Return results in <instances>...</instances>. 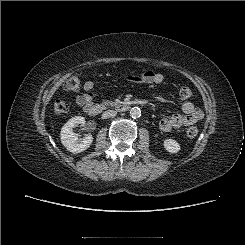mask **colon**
<instances>
[{
    "label": "colon",
    "mask_w": 245,
    "mask_h": 245,
    "mask_svg": "<svg viewBox=\"0 0 245 245\" xmlns=\"http://www.w3.org/2000/svg\"><path fill=\"white\" fill-rule=\"evenodd\" d=\"M82 87V78L79 74L72 75L64 84V88L68 91L77 92ZM179 96L182 99H187L192 96V91L188 87H182L179 90ZM54 112L57 114H64L69 110V104L64 99H58L54 103ZM186 136L188 138H194L198 134V129L195 127H190L186 130Z\"/></svg>",
    "instance_id": "1"
}]
</instances>
